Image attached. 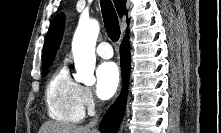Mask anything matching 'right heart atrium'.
Returning a JSON list of instances; mask_svg holds the SVG:
<instances>
[{
    "mask_svg": "<svg viewBox=\"0 0 221 133\" xmlns=\"http://www.w3.org/2000/svg\"><path fill=\"white\" fill-rule=\"evenodd\" d=\"M80 97L84 109H86L88 112L95 110L97 107V101L89 87L81 86Z\"/></svg>",
    "mask_w": 221,
    "mask_h": 133,
    "instance_id": "obj_1",
    "label": "right heart atrium"
}]
</instances>
